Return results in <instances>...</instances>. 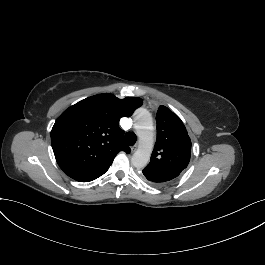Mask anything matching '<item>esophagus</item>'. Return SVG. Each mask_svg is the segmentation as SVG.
<instances>
[{
	"label": "esophagus",
	"instance_id": "esophagus-1",
	"mask_svg": "<svg viewBox=\"0 0 265 265\" xmlns=\"http://www.w3.org/2000/svg\"><path fill=\"white\" fill-rule=\"evenodd\" d=\"M137 148V144H135L133 147H132V151L134 152Z\"/></svg>",
	"mask_w": 265,
	"mask_h": 265
}]
</instances>
